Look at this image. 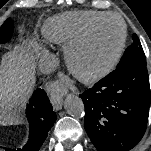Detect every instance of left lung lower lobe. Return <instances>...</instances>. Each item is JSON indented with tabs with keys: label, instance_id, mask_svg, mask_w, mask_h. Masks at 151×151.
I'll return each mask as SVG.
<instances>
[{
	"label": "left lung lower lobe",
	"instance_id": "obj_1",
	"mask_svg": "<svg viewBox=\"0 0 151 151\" xmlns=\"http://www.w3.org/2000/svg\"><path fill=\"white\" fill-rule=\"evenodd\" d=\"M79 96L85 106V130L99 151H126L139 143L150 106L146 63L117 68Z\"/></svg>",
	"mask_w": 151,
	"mask_h": 151
}]
</instances>
